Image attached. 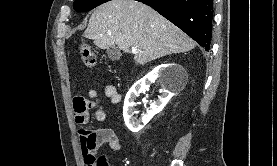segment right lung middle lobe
Segmentation results:
<instances>
[{"label":"right lung middle lobe","instance_id":"right-lung-middle-lobe-1","mask_svg":"<svg viewBox=\"0 0 277 166\" xmlns=\"http://www.w3.org/2000/svg\"><path fill=\"white\" fill-rule=\"evenodd\" d=\"M110 0H75L73 7L77 12H85Z\"/></svg>","mask_w":277,"mask_h":166}]
</instances>
